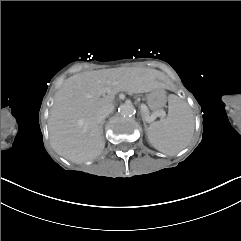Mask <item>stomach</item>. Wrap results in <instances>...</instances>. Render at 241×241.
Wrapping results in <instances>:
<instances>
[{"label": "stomach", "mask_w": 241, "mask_h": 241, "mask_svg": "<svg viewBox=\"0 0 241 241\" xmlns=\"http://www.w3.org/2000/svg\"><path fill=\"white\" fill-rule=\"evenodd\" d=\"M147 104L151 110H160L166 105V93L157 89L147 95Z\"/></svg>", "instance_id": "0dacf381"}]
</instances>
